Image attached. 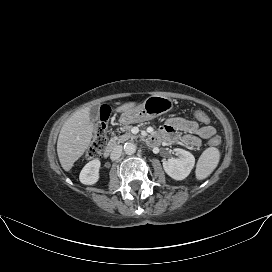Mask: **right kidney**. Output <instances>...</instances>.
Here are the masks:
<instances>
[{
  "label": "right kidney",
  "mask_w": 272,
  "mask_h": 272,
  "mask_svg": "<svg viewBox=\"0 0 272 272\" xmlns=\"http://www.w3.org/2000/svg\"><path fill=\"white\" fill-rule=\"evenodd\" d=\"M101 162L94 159L87 163L80 172V182L85 185H93L99 180V169Z\"/></svg>",
  "instance_id": "ca27d5eb"
}]
</instances>
